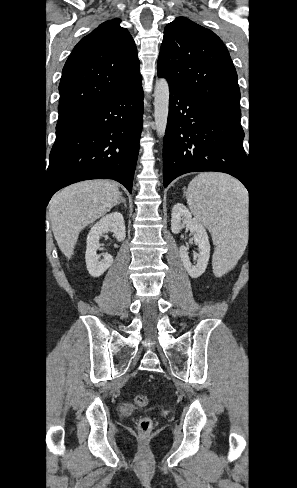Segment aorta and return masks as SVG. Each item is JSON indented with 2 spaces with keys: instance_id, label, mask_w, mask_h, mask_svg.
Listing matches in <instances>:
<instances>
[{
  "instance_id": "762f6f07",
  "label": "aorta",
  "mask_w": 297,
  "mask_h": 488,
  "mask_svg": "<svg viewBox=\"0 0 297 488\" xmlns=\"http://www.w3.org/2000/svg\"><path fill=\"white\" fill-rule=\"evenodd\" d=\"M169 84L166 79L156 81L154 90V117L157 134L163 138L166 131L169 112Z\"/></svg>"
}]
</instances>
